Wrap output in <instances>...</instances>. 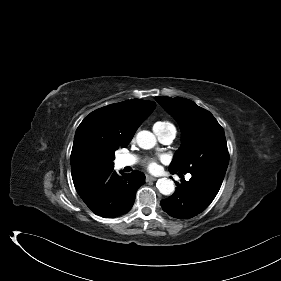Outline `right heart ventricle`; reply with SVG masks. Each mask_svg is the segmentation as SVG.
<instances>
[{
	"mask_svg": "<svg viewBox=\"0 0 281 281\" xmlns=\"http://www.w3.org/2000/svg\"><path fill=\"white\" fill-rule=\"evenodd\" d=\"M170 128H174V126L168 121H158L154 124V130L156 131H165Z\"/></svg>",
	"mask_w": 281,
	"mask_h": 281,
	"instance_id": "e07e8e85",
	"label": "right heart ventricle"
}]
</instances>
